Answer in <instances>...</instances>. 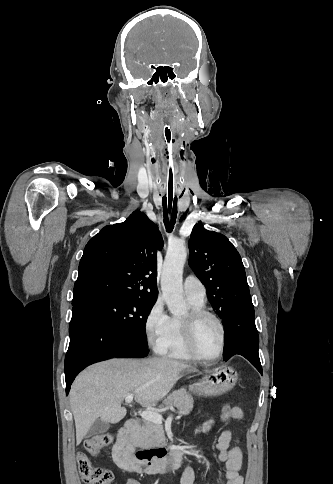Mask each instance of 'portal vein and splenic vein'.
I'll list each match as a JSON object with an SVG mask.
<instances>
[{
  "label": "portal vein and splenic vein",
  "mask_w": 333,
  "mask_h": 484,
  "mask_svg": "<svg viewBox=\"0 0 333 484\" xmlns=\"http://www.w3.org/2000/svg\"><path fill=\"white\" fill-rule=\"evenodd\" d=\"M133 398H134V394L133 393L129 394L125 397V402L130 403V402H132ZM140 416L144 420L151 421L153 423H158V424H161L162 420H163L162 415L155 412V411H141ZM181 417H182V415H178L176 417V419H180Z\"/></svg>",
  "instance_id": "obj_1"
}]
</instances>
